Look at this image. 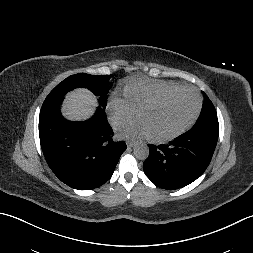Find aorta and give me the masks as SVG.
I'll return each mask as SVG.
<instances>
[{"mask_svg": "<svg viewBox=\"0 0 253 253\" xmlns=\"http://www.w3.org/2000/svg\"><path fill=\"white\" fill-rule=\"evenodd\" d=\"M134 156L139 160H145L149 156V147L143 142H139L134 146Z\"/></svg>", "mask_w": 253, "mask_h": 253, "instance_id": "762f6f07", "label": "aorta"}]
</instances>
